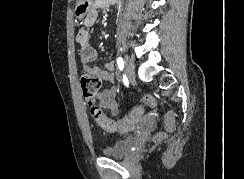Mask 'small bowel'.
Masks as SVG:
<instances>
[{"mask_svg":"<svg viewBox=\"0 0 244 179\" xmlns=\"http://www.w3.org/2000/svg\"><path fill=\"white\" fill-rule=\"evenodd\" d=\"M109 4L110 2L105 0H93V2L90 3L89 13H87V18H79L82 21V25L78 31L76 39L79 44V58L82 65V69L87 73L98 76L101 80L113 82L115 79L114 62L107 61L103 69L97 66H93L92 62H94L97 59L98 54L95 48L89 42L90 29L95 24L98 18V11L108 6ZM114 5H115L114 12H116L117 15H120L121 13L120 5L117 4ZM116 94H117L116 89L113 87L103 90L97 96L99 105L105 109L115 112L117 110ZM141 114L142 113L130 114L129 116H141ZM125 127H130L132 130L136 126H125Z\"/></svg>","mask_w":244,"mask_h":179,"instance_id":"obj_1","label":"small bowel"}]
</instances>
